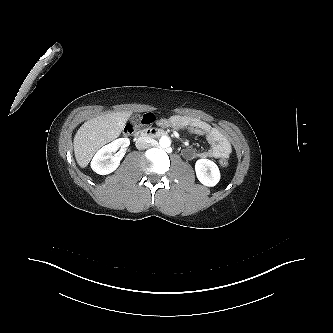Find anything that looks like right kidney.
<instances>
[{
    "mask_svg": "<svg viewBox=\"0 0 333 333\" xmlns=\"http://www.w3.org/2000/svg\"><path fill=\"white\" fill-rule=\"evenodd\" d=\"M129 144L130 140L128 138H119L103 146L100 150H98L91 161L92 170L100 175H107L115 171L118 168ZM118 149V153L112 155V153Z\"/></svg>",
    "mask_w": 333,
    "mask_h": 333,
    "instance_id": "1",
    "label": "right kidney"
}]
</instances>
